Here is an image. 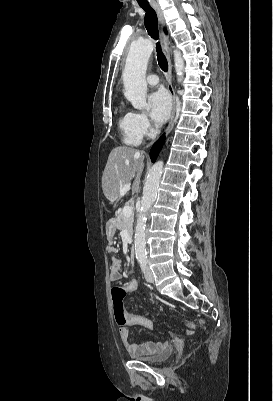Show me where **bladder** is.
I'll list each match as a JSON object with an SVG mask.
<instances>
[{"mask_svg": "<svg viewBox=\"0 0 273 401\" xmlns=\"http://www.w3.org/2000/svg\"><path fill=\"white\" fill-rule=\"evenodd\" d=\"M173 354V348L167 347L157 355L154 356H138V355H131L134 360L141 361L148 364L158 365L166 362Z\"/></svg>", "mask_w": 273, "mask_h": 401, "instance_id": "1", "label": "bladder"}]
</instances>
